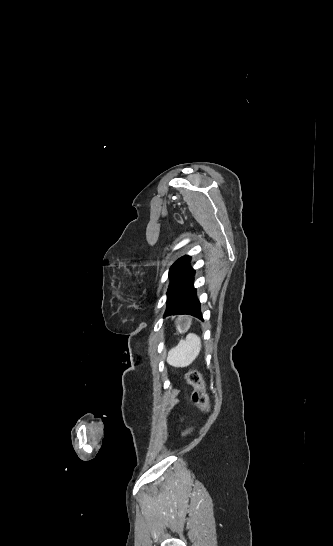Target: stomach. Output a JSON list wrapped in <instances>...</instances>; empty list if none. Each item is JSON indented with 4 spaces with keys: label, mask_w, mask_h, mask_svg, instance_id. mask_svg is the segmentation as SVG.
<instances>
[{
    "label": "stomach",
    "mask_w": 333,
    "mask_h": 546,
    "mask_svg": "<svg viewBox=\"0 0 333 546\" xmlns=\"http://www.w3.org/2000/svg\"><path fill=\"white\" fill-rule=\"evenodd\" d=\"M184 324H186V321H183V322H181V323H177V330L179 331V328H181ZM187 330H188V329H187ZM187 330H185V331H187ZM185 331H184V332H185ZM179 332H180V331H179ZM180 333H182V332H180Z\"/></svg>",
    "instance_id": "1"
}]
</instances>
